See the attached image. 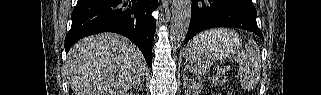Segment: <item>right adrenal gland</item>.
<instances>
[{"mask_svg":"<svg viewBox=\"0 0 321 95\" xmlns=\"http://www.w3.org/2000/svg\"><path fill=\"white\" fill-rule=\"evenodd\" d=\"M144 86V78L142 79L141 83L138 84V86L135 87V90H142Z\"/></svg>","mask_w":321,"mask_h":95,"instance_id":"1","label":"right adrenal gland"}]
</instances>
